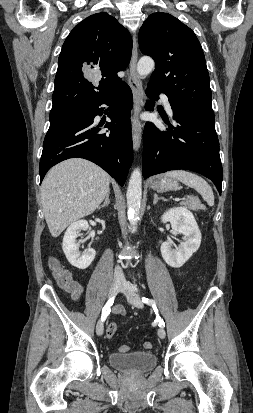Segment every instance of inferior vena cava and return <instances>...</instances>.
<instances>
[{"instance_id":"obj_1","label":"inferior vena cava","mask_w":253,"mask_h":413,"mask_svg":"<svg viewBox=\"0 0 253 413\" xmlns=\"http://www.w3.org/2000/svg\"><path fill=\"white\" fill-rule=\"evenodd\" d=\"M114 276L115 278H120L123 276V272L119 266L115 267Z\"/></svg>"}]
</instances>
